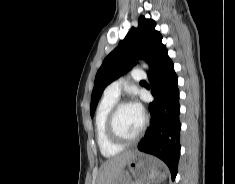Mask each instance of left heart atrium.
<instances>
[{"mask_svg": "<svg viewBox=\"0 0 235 184\" xmlns=\"http://www.w3.org/2000/svg\"><path fill=\"white\" fill-rule=\"evenodd\" d=\"M130 107L137 113L140 115H143V107L142 105L137 101L134 100L131 102Z\"/></svg>", "mask_w": 235, "mask_h": 184, "instance_id": "left-heart-atrium-1", "label": "left heart atrium"}]
</instances>
